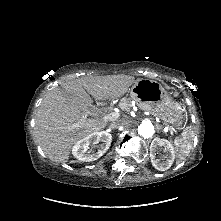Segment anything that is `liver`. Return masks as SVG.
Returning a JSON list of instances; mask_svg holds the SVG:
<instances>
[{"label": "liver", "mask_w": 221, "mask_h": 221, "mask_svg": "<svg viewBox=\"0 0 221 221\" xmlns=\"http://www.w3.org/2000/svg\"><path fill=\"white\" fill-rule=\"evenodd\" d=\"M138 80L123 74L87 76L47 92L34 127L35 138L44 153L54 162H67L74 144L107 125V120L88 117L86 107L92 102L89 94L96 101L117 99Z\"/></svg>", "instance_id": "liver-1"}]
</instances>
